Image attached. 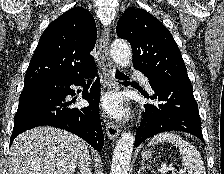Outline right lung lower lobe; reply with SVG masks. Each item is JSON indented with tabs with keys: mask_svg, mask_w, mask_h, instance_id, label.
<instances>
[{
	"mask_svg": "<svg viewBox=\"0 0 224 174\" xmlns=\"http://www.w3.org/2000/svg\"><path fill=\"white\" fill-rule=\"evenodd\" d=\"M88 76H97L96 66L78 76L24 85L14 116L10 144L23 131L38 126H53L80 136L100 151L104 136L99 116V77L91 86L90 92L83 93L82 97L90 102L88 107L71 108L72 101H66L68 95L75 94L70 86H84V78Z\"/></svg>",
	"mask_w": 224,
	"mask_h": 174,
	"instance_id": "obj_1",
	"label": "right lung lower lobe"
}]
</instances>
